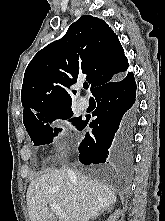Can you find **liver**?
Segmentation results:
<instances>
[{"instance_id":"obj_1","label":"liver","mask_w":165,"mask_h":221,"mask_svg":"<svg viewBox=\"0 0 165 221\" xmlns=\"http://www.w3.org/2000/svg\"><path fill=\"white\" fill-rule=\"evenodd\" d=\"M26 200L30 221H48L51 203L67 214L66 221H89L101 210L112 207L117 198L103 182L82 174L72 177L66 169H60L46 170L33 179Z\"/></svg>"}]
</instances>
